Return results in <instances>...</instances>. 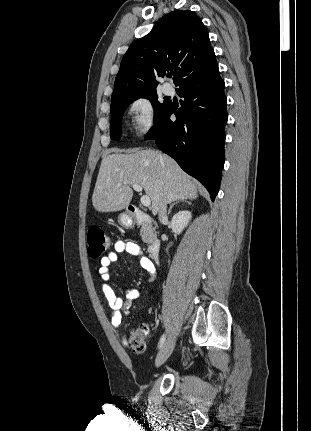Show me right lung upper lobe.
I'll return each mask as SVG.
<instances>
[{"mask_svg":"<svg viewBox=\"0 0 311 431\" xmlns=\"http://www.w3.org/2000/svg\"><path fill=\"white\" fill-rule=\"evenodd\" d=\"M217 67L201 19L192 11L175 10L162 17L149 34L130 45L115 78L111 99L154 91L158 84L156 76L164 77L173 69L174 83L180 87Z\"/></svg>","mask_w":311,"mask_h":431,"instance_id":"1","label":"right lung upper lobe"}]
</instances>
